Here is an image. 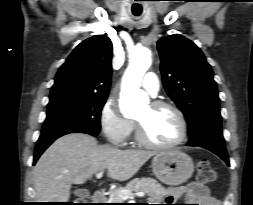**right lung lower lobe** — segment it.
I'll use <instances>...</instances> for the list:
<instances>
[{
    "label": "right lung lower lobe",
    "instance_id": "1",
    "mask_svg": "<svg viewBox=\"0 0 253 205\" xmlns=\"http://www.w3.org/2000/svg\"><path fill=\"white\" fill-rule=\"evenodd\" d=\"M69 133H86L92 136H96L98 134V133H93V132L80 130V129H65V130H60V131H55V132L42 133L35 147V155H34L33 164L37 162L40 155L55 139Z\"/></svg>",
    "mask_w": 253,
    "mask_h": 205
}]
</instances>
